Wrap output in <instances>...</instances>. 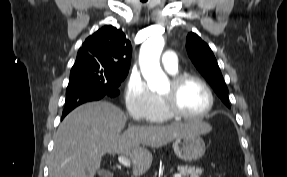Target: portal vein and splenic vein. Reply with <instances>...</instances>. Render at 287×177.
Instances as JSON below:
<instances>
[{
	"mask_svg": "<svg viewBox=\"0 0 287 177\" xmlns=\"http://www.w3.org/2000/svg\"><path fill=\"white\" fill-rule=\"evenodd\" d=\"M118 162L127 168L131 166L130 160L126 156H123V155L118 156ZM181 176L182 175L180 173L174 175V177H181Z\"/></svg>",
	"mask_w": 287,
	"mask_h": 177,
	"instance_id": "portal-vein-and-splenic-vein-1",
	"label": "portal vein and splenic vein"
}]
</instances>
